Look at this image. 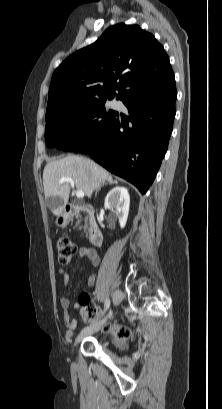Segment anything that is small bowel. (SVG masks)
Returning a JSON list of instances; mask_svg holds the SVG:
<instances>
[{
  "mask_svg": "<svg viewBox=\"0 0 222 409\" xmlns=\"http://www.w3.org/2000/svg\"><path fill=\"white\" fill-rule=\"evenodd\" d=\"M74 259L76 260H84L88 259L93 266H97L100 263V257L98 253L88 247H80L77 252L75 253ZM71 275L70 273H65L62 279V283L64 286H67L70 282ZM95 276L90 275L87 279V284L89 286H93L95 283ZM60 305L63 309L68 310L70 307V299L68 297H61L60 298ZM80 305L76 304L75 308H79ZM63 323L66 326L67 330L65 332L66 339H71L73 337V332L77 327V320L72 319L68 313L64 314Z\"/></svg>",
  "mask_w": 222,
  "mask_h": 409,
  "instance_id": "c3829d8e",
  "label": "small bowel"
}]
</instances>
